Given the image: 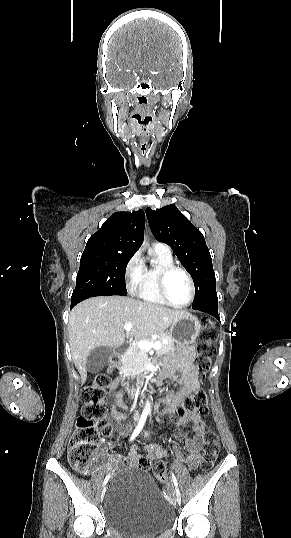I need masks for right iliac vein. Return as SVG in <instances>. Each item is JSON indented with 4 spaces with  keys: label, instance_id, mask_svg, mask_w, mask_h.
<instances>
[{
    "label": "right iliac vein",
    "instance_id": "obj_1",
    "mask_svg": "<svg viewBox=\"0 0 291 538\" xmlns=\"http://www.w3.org/2000/svg\"><path fill=\"white\" fill-rule=\"evenodd\" d=\"M105 492H106V487H104L103 490H102V492H101V498L104 497Z\"/></svg>",
    "mask_w": 291,
    "mask_h": 538
}]
</instances>
